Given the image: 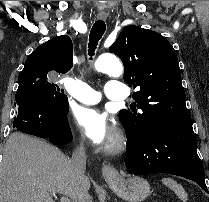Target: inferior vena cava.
<instances>
[{
	"label": "inferior vena cava",
	"mask_w": 209,
	"mask_h": 202,
	"mask_svg": "<svg viewBox=\"0 0 209 202\" xmlns=\"http://www.w3.org/2000/svg\"><path fill=\"white\" fill-rule=\"evenodd\" d=\"M71 165L73 174L77 178L78 185V202H92V199L88 193V190L82 184L84 172L86 169V151L84 146L81 144L72 154Z\"/></svg>",
	"instance_id": "obj_1"
}]
</instances>
